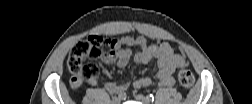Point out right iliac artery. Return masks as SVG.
I'll return each mask as SVG.
<instances>
[{"instance_id":"obj_1","label":"right iliac artery","mask_w":252,"mask_h":104,"mask_svg":"<svg viewBox=\"0 0 252 104\" xmlns=\"http://www.w3.org/2000/svg\"><path fill=\"white\" fill-rule=\"evenodd\" d=\"M118 97H119V99L124 100L126 98V93L121 92V93L118 94Z\"/></svg>"}]
</instances>
